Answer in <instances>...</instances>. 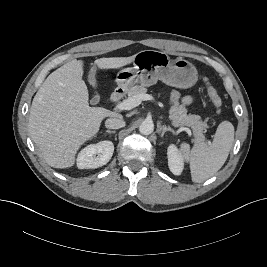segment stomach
I'll use <instances>...</instances> for the list:
<instances>
[{
    "label": "stomach",
    "mask_w": 267,
    "mask_h": 267,
    "mask_svg": "<svg viewBox=\"0 0 267 267\" xmlns=\"http://www.w3.org/2000/svg\"><path fill=\"white\" fill-rule=\"evenodd\" d=\"M133 67L118 72V88L128 92L136 83L144 87L161 80L176 88H190L197 81V70L183 58L171 60L165 52L143 50L134 55Z\"/></svg>",
    "instance_id": "1"
}]
</instances>
